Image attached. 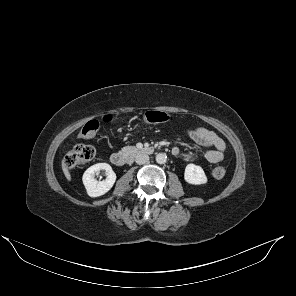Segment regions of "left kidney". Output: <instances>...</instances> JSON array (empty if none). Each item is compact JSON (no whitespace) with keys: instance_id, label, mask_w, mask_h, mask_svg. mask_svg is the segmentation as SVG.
Instances as JSON below:
<instances>
[{"instance_id":"5707ae66","label":"left kidney","mask_w":296,"mask_h":296,"mask_svg":"<svg viewBox=\"0 0 296 296\" xmlns=\"http://www.w3.org/2000/svg\"><path fill=\"white\" fill-rule=\"evenodd\" d=\"M184 179L187 183L201 185L207 183L204 170L195 164H188L185 168Z\"/></svg>"}]
</instances>
